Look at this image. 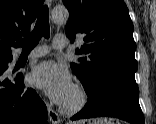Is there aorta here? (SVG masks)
I'll use <instances>...</instances> for the list:
<instances>
[{
	"label": "aorta",
	"instance_id": "obj_1",
	"mask_svg": "<svg viewBox=\"0 0 156 124\" xmlns=\"http://www.w3.org/2000/svg\"><path fill=\"white\" fill-rule=\"evenodd\" d=\"M51 17L55 23H65L69 18V13L66 8L56 7L52 10Z\"/></svg>",
	"mask_w": 156,
	"mask_h": 124
}]
</instances>
